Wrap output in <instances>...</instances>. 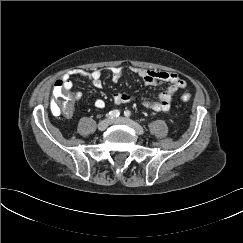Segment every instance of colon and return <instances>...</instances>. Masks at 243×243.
Instances as JSON below:
<instances>
[{"label":"colon","instance_id":"1","mask_svg":"<svg viewBox=\"0 0 243 243\" xmlns=\"http://www.w3.org/2000/svg\"><path fill=\"white\" fill-rule=\"evenodd\" d=\"M54 98L51 101V110L55 115L64 114L70 115L73 111L75 98L74 95L67 92L64 89L62 82L56 81L53 89ZM184 102H188L191 99V95L184 93L181 96Z\"/></svg>","mask_w":243,"mask_h":243}]
</instances>
